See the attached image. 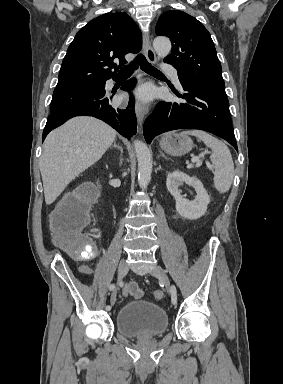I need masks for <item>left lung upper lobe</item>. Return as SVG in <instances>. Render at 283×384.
Masks as SVG:
<instances>
[{
	"label": "left lung upper lobe",
	"mask_w": 283,
	"mask_h": 384,
	"mask_svg": "<svg viewBox=\"0 0 283 384\" xmlns=\"http://www.w3.org/2000/svg\"><path fill=\"white\" fill-rule=\"evenodd\" d=\"M156 33L170 38L172 53L164 61L177 69L178 76L224 85L210 33L196 18L180 10L167 11L160 16Z\"/></svg>",
	"instance_id": "obj_1"
}]
</instances>
